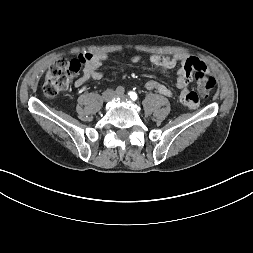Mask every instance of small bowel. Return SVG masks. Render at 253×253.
I'll return each mask as SVG.
<instances>
[{"instance_id": "obj_1", "label": "small bowel", "mask_w": 253, "mask_h": 253, "mask_svg": "<svg viewBox=\"0 0 253 253\" xmlns=\"http://www.w3.org/2000/svg\"><path fill=\"white\" fill-rule=\"evenodd\" d=\"M90 59L87 61L83 74L76 80L75 85L77 87L83 86L89 80H100L103 74L99 71V68L103 62L108 58L105 53H93L90 54ZM188 57L184 54H177L173 57H164L160 55H152L150 62L152 65L160 68L162 71H167L177 67H180L177 71L178 77L176 86L181 90L180 101L191 111H198L201 108L200 95L195 91H189V83L191 80L192 69L187 65ZM141 57L136 55L131 58L133 63L140 62ZM145 88L149 91L155 90L165 97H172V90L165 84L150 79L145 82Z\"/></svg>"}]
</instances>
